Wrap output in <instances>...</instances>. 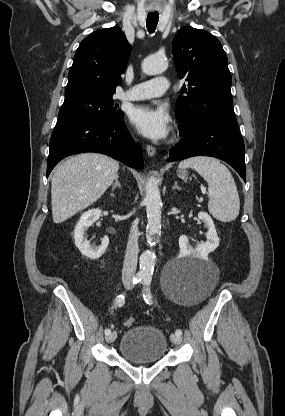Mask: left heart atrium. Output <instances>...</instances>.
Here are the masks:
<instances>
[{"mask_svg":"<svg viewBox=\"0 0 285 416\" xmlns=\"http://www.w3.org/2000/svg\"><path fill=\"white\" fill-rule=\"evenodd\" d=\"M131 122L145 137L152 140L166 138L170 130V117L159 107L139 105L131 113Z\"/></svg>","mask_w":285,"mask_h":416,"instance_id":"39dd6f15","label":"left heart atrium"}]
</instances>
